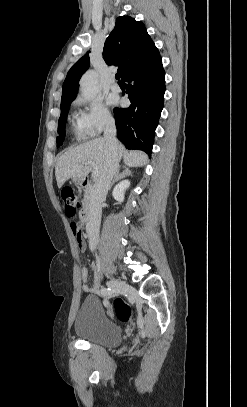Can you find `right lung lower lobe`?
Wrapping results in <instances>:
<instances>
[{
  "label": "right lung lower lobe",
  "mask_w": 247,
  "mask_h": 407,
  "mask_svg": "<svg viewBox=\"0 0 247 407\" xmlns=\"http://www.w3.org/2000/svg\"><path fill=\"white\" fill-rule=\"evenodd\" d=\"M131 105L114 108L117 138L128 149L152 153L155 129L163 109L165 72L160 56L131 70L123 79Z\"/></svg>",
  "instance_id": "obj_1"
}]
</instances>
